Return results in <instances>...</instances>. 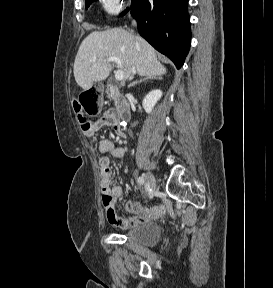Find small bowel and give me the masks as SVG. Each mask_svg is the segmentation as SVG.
Wrapping results in <instances>:
<instances>
[{
  "instance_id": "small-bowel-1",
  "label": "small bowel",
  "mask_w": 273,
  "mask_h": 288,
  "mask_svg": "<svg viewBox=\"0 0 273 288\" xmlns=\"http://www.w3.org/2000/svg\"><path fill=\"white\" fill-rule=\"evenodd\" d=\"M103 127H111L118 136L123 137L121 123L114 110L105 111L100 117L90 123L89 127L84 130V133L88 138H93L95 133ZM98 151L103 155L110 154L112 157L119 159L125 156V150L121 147H116L108 139L99 142ZM99 166L102 203L106 218L110 224L120 228H130L146 221L155 220L164 213L165 208L162 205L146 207L137 201H130L125 205V208L132 216H120L116 212L114 204L115 200L123 193L122 187L112 177L110 159L107 156H102L99 159Z\"/></svg>"
}]
</instances>
